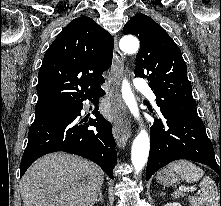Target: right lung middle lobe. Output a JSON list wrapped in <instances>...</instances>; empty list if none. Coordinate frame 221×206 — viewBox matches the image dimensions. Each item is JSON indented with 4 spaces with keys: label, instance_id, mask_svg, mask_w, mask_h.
Listing matches in <instances>:
<instances>
[{
    "label": "right lung middle lobe",
    "instance_id": "right-lung-middle-lobe-1",
    "mask_svg": "<svg viewBox=\"0 0 221 206\" xmlns=\"http://www.w3.org/2000/svg\"><path fill=\"white\" fill-rule=\"evenodd\" d=\"M71 106L72 105L36 107L35 108V118L40 117V116H44V115L62 112V111L70 109Z\"/></svg>",
    "mask_w": 221,
    "mask_h": 206
}]
</instances>
